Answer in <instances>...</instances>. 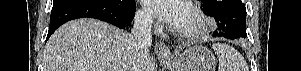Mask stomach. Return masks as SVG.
<instances>
[{"instance_id": "1", "label": "stomach", "mask_w": 301, "mask_h": 71, "mask_svg": "<svg viewBox=\"0 0 301 71\" xmlns=\"http://www.w3.org/2000/svg\"><path fill=\"white\" fill-rule=\"evenodd\" d=\"M170 71H215L216 58L205 47L193 46L170 60L160 59Z\"/></svg>"}]
</instances>
